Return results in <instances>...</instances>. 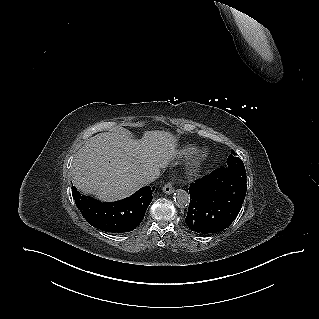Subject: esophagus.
<instances>
[{"label":"esophagus","mask_w":319,"mask_h":319,"mask_svg":"<svg viewBox=\"0 0 319 319\" xmlns=\"http://www.w3.org/2000/svg\"><path fill=\"white\" fill-rule=\"evenodd\" d=\"M163 192L166 194H172L174 192L172 182H168L167 184H165V186L163 187Z\"/></svg>","instance_id":"34e87169"}]
</instances>
